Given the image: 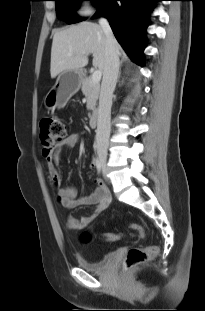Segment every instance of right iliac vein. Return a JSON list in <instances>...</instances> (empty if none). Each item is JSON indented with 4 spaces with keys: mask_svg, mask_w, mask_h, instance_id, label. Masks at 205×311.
<instances>
[{
    "mask_svg": "<svg viewBox=\"0 0 205 311\" xmlns=\"http://www.w3.org/2000/svg\"><path fill=\"white\" fill-rule=\"evenodd\" d=\"M97 152H98V159L101 162L102 167H103V171H104V173H106L107 172V165H106L107 153H106V148L104 146H99L98 149H97Z\"/></svg>",
    "mask_w": 205,
    "mask_h": 311,
    "instance_id": "right-iliac-vein-1",
    "label": "right iliac vein"
}]
</instances>
